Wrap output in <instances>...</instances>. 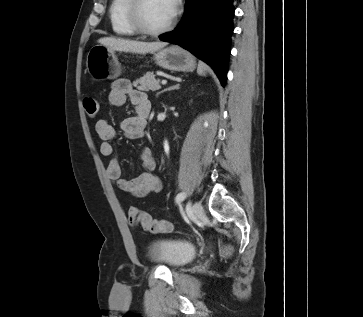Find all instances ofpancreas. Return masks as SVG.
<instances>
[{"label": "pancreas", "instance_id": "1", "mask_svg": "<svg viewBox=\"0 0 363 317\" xmlns=\"http://www.w3.org/2000/svg\"><path fill=\"white\" fill-rule=\"evenodd\" d=\"M133 86L142 91H156L160 89V79H156L153 72H147L143 77L135 80Z\"/></svg>", "mask_w": 363, "mask_h": 317}]
</instances>
